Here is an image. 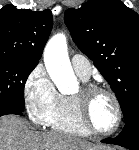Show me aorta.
<instances>
[{
	"label": "aorta",
	"mask_w": 139,
	"mask_h": 150,
	"mask_svg": "<svg viewBox=\"0 0 139 150\" xmlns=\"http://www.w3.org/2000/svg\"><path fill=\"white\" fill-rule=\"evenodd\" d=\"M44 63L50 78L63 94H70L78 87L68 57L66 36L59 33L53 36L44 49Z\"/></svg>",
	"instance_id": "1"
}]
</instances>
